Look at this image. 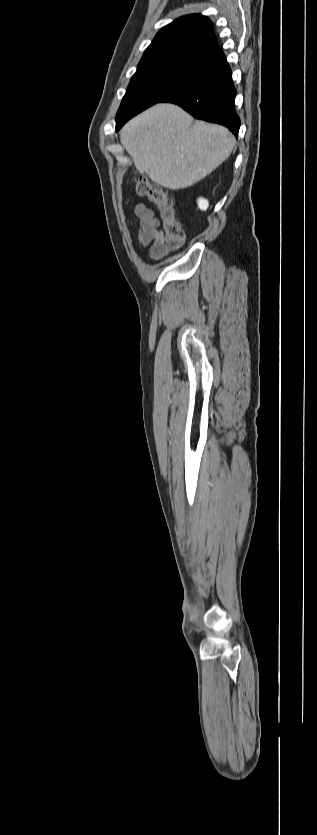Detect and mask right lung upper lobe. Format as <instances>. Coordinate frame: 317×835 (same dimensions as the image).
Returning a JSON list of instances; mask_svg holds the SVG:
<instances>
[{
	"label": "right lung upper lobe",
	"instance_id": "cb5924a9",
	"mask_svg": "<svg viewBox=\"0 0 317 835\" xmlns=\"http://www.w3.org/2000/svg\"><path fill=\"white\" fill-rule=\"evenodd\" d=\"M219 49L212 23L206 16L181 17L162 28L145 50L137 71L192 58Z\"/></svg>",
	"mask_w": 317,
	"mask_h": 835
}]
</instances>
